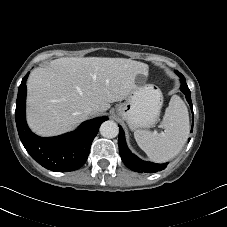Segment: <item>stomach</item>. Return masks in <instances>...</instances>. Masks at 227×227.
I'll list each match as a JSON object with an SVG mask.
<instances>
[{"label":"stomach","mask_w":227,"mask_h":227,"mask_svg":"<svg viewBox=\"0 0 227 227\" xmlns=\"http://www.w3.org/2000/svg\"><path fill=\"white\" fill-rule=\"evenodd\" d=\"M146 73H140L135 88L123 103L116 106V113L128 123L131 130L149 128L158 120L163 103L162 92L143 79Z\"/></svg>","instance_id":"1"}]
</instances>
